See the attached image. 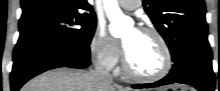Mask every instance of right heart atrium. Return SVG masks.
I'll use <instances>...</instances> for the list:
<instances>
[{
    "label": "right heart atrium",
    "instance_id": "obj_1",
    "mask_svg": "<svg viewBox=\"0 0 220 91\" xmlns=\"http://www.w3.org/2000/svg\"><path fill=\"white\" fill-rule=\"evenodd\" d=\"M88 47L94 60L104 69H112L118 64L121 55L119 43L104 25L95 27Z\"/></svg>",
    "mask_w": 220,
    "mask_h": 91
}]
</instances>
